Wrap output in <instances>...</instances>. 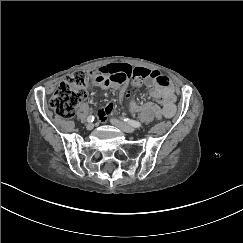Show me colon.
I'll return each mask as SVG.
<instances>
[{"label": "colon", "instance_id": "obj_1", "mask_svg": "<svg viewBox=\"0 0 243 243\" xmlns=\"http://www.w3.org/2000/svg\"><path fill=\"white\" fill-rule=\"evenodd\" d=\"M142 76H135L134 83L138 84ZM88 81L82 72H74L69 75L56 89L49 100V106L61 118H70L74 115L76 106L87 97ZM130 108L134 113L153 112L157 117L161 111L152 103L142 105L130 102Z\"/></svg>", "mask_w": 243, "mask_h": 243}]
</instances>
